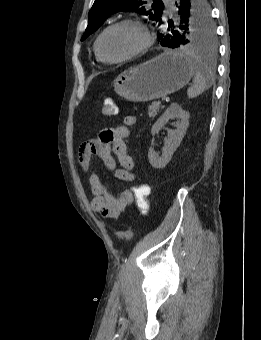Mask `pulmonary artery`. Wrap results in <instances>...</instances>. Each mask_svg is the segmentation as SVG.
<instances>
[{
    "instance_id": "e3ab8cb5",
    "label": "pulmonary artery",
    "mask_w": 261,
    "mask_h": 340,
    "mask_svg": "<svg viewBox=\"0 0 261 340\" xmlns=\"http://www.w3.org/2000/svg\"><path fill=\"white\" fill-rule=\"evenodd\" d=\"M166 6L170 8L173 4V0H165Z\"/></svg>"
}]
</instances>
